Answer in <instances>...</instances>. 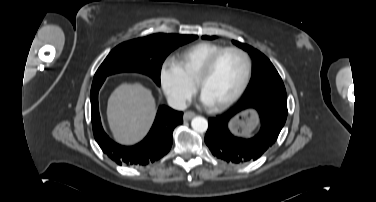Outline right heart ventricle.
<instances>
[{
  "label": "right heart ventricle",
  "instance_id": "1",
  "mask_svg": "<svg viewBox=\"0 0 376 202\" xmlns=\"http://www.w3.org/2000/svg\"><path fill=\"white\" fill-rule=\"evenodd\" d=\"M223 48L217 43L200 42L176 53L173 60L184 76L195 83V79L206 61Z\"/></svg>",
  "mask_w": 376,
  "mask_h": 202
}]
</instances>
